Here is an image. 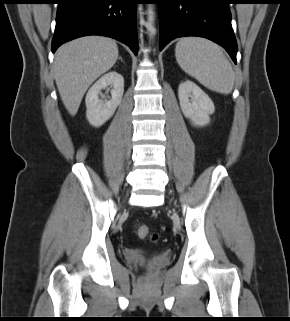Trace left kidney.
I'll list each match as a JSON object with an SVG mask.
<instances>
[{
    "label": "left kidney",
    "instance_id": "obj_1",
    "mask_svg": "<svg viewBox=\"0 0 290 321\" xmlns=\"http://www.w3.org/2000/svg\"><path fill=\"white\" fill-rule=\"evenodd\" d=\"M178 98L184 116L194 126H205L210 122V115L215 107L209 96L195 83L186 80L179 85Z\"/></svg>",
    "mask_w": 290,
    "mask_h": 321
}]
</instances>
